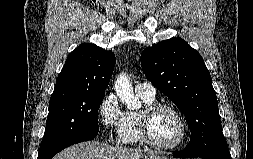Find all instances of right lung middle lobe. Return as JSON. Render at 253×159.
Returning <instances> with one entry per match:
<instances>
[{"instance_id":"right-lung-middle-lobe-1","label":"right lung middle lobe","mask_w":253,"mask_h":159,"mask_svg":"<svg viewBox=\"0 0 253 159\" xmlns=\"http://www.w3.org/2000/svg\"><path fill=\"white\" fill-rule=\"evenodd\" d=\"M105 93L83 92L51 98L46 129L38 157L57 144L81 134L98 133V109Z\"/></svg>"}]
</instances>
